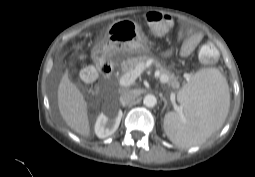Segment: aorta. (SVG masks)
<instances>
[{
    "label": "aorta",
    "mask_w": 255,
    "mask_h": 177,
    "mask_svg": "<svg viewBox=\"0 0 255 177\" xmlns=\"http://www.w3.org/2000/svg\"><path fill=\"white\" fill-rule=\"evenodd\" d=\"M143 103L147 107H154L156 105V103H157V99H156V97L154 95L147 94L144 97Z\"/></svg>",
    "instance_id": "aorta-1"
}]
</instances>
